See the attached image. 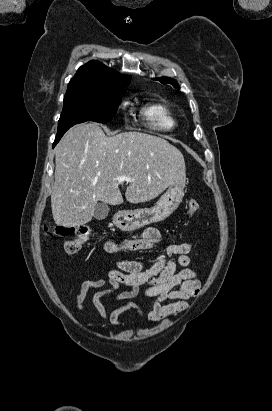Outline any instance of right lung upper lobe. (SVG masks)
Returning <instances> with one entry per match:
<instances>
[{
	"label": "right lung upper lobe",
	"instance_id": "right-lung-upper-lobe-1",
	"mask_svg": "<svg viewBox=\"0 0 272 411\" xmlns=\"http://www.w3.org/2000/svg\"><path fill=\"white\" fill-rule=\"evenodd\" d=\"M129 76H122L99 61H90L81 66L68 84L67 92H83L103 87H126Z\"/></svg>",
	"mask_w": 272,
	"mask_h": 411
}]
</instances>
